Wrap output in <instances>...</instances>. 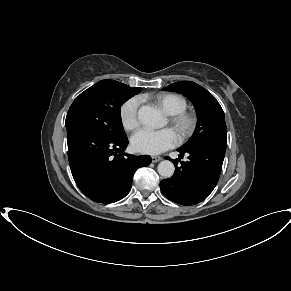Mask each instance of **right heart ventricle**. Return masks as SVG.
Returning a JSON list of instances; mask_svg holds the SVG:
<instances>
[{"label":"right heart ventricle","instance_id":"right-heart-ventricle-1","mask_svg":"<svg viewBox=\"0 0 291 291\" xmlns=\"http://www.w3.org/2000/svg\"><path fill=\"white\" fill-rule=\"evenodd\" d=\"M142 98H151L168 115L176 114L187 108L186 99L177 93L160 92L152 96L144 95Z\"/></svg>","mask_w":291,"mask_h":291}]
</instances>
